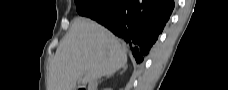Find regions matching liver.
<instances>
[{"mask_svg":"<svg viewBox=\"0 0 228 90\" xmlns=\"http://www.w3.org/2000/svg\"><path fill=\"white\" fill-rule=\"evenodd\" d=\"M126 64V51L111 32L78 17L50 63L47 90H75L78 79L91 82L114 74Z\"/></svg>","mask_w":228,"mask_h":90,"instance_id":"obj_1","label":"liver"}]
</instances>
